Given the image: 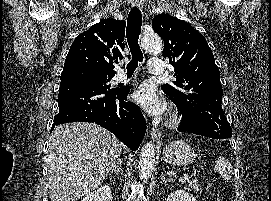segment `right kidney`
<instances>
[{"label":"right kidney","instance_id":"ca27d5eb","mask_svg":"<svg viewBox=\"0 0 271 201\" xmlns=\"http://www.w3.org/2000/svg\"><path fill=\"white\" fill-rule=\"evenodd\" d=\"M82 201H112L111 189L108 185L87 194Z\"/></svg>","mask_w":271,"mask_h":201}]
</instances>
